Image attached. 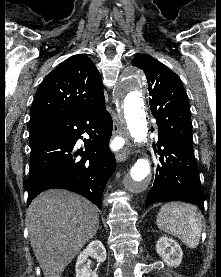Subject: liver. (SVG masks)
Returning a JSON list of instances; mask_svg holds the SVG:
<instances>
[{"label": "liver", "instance_id": "obj_1", "mask_svg": "<svg viewBox=\"0 0 221 277\" xmlns=\"http://www.w3.org/2000/svg\"><path fill=\"white\" fill-rule=\"evenodd\" d=\"M30 242L44 277H60L99 228L98 209L66 190L39 194L26 211Z\"/></svg>", "mask_w": 221, "mask_h": 277}]
</instances>
